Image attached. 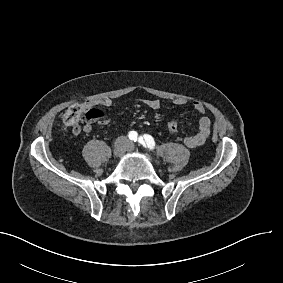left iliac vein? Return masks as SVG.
Masks as SVG:
<instances>
[{
	"instance_id": "left-iliac-vein-1",
	"label": "left iliac vein",
	"mask_w": 283,
	"mask_h": 283,
	"mask_svg": "<svg viewBox=\"0 0 283 283\" xmlns=\"http://www.w3.org/2000/svg\"><path fill=\"white\" fill-rule=\"evenodd\" d=\"M134 144H129V146L127 147V151H133L135 149Z\"/></svg>"
}]
</instances>
